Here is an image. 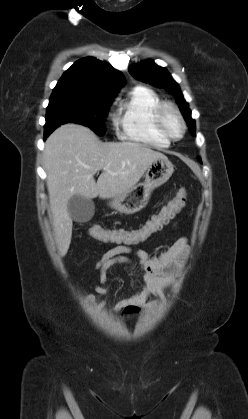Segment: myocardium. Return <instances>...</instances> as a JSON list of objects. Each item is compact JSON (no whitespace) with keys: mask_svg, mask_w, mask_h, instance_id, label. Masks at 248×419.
I'll use <instances>...</instances> for the list:
<instances>
[{"mask_svg":"<svg viewBox=\"0 0 248 419\" xmlns=\"http://www.w3.org/2000/svg\"><path fill=\"white\" fill-rule=\"evenodd\" d=\"M167 111L173 112L176 117L178 118L180 124H181V133L178 136H174L169 132L165 125V114ZM154 124L157 129V131L164 136L169 142L170 141H179L183 138L185 135L187 126L185 119L179 110V108L174 105L173 103L169 102H162L155 110L154 112Z\"/></svg>","mask_w":248,"mask_h":419,"instance_id":"myocardium-1","label":"myocardium"}]
</instances>
